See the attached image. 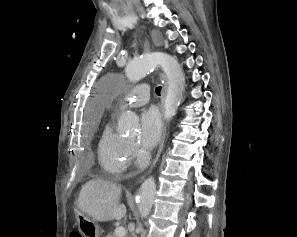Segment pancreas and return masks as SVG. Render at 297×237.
<instances>
[{
  "label": "pancreas",
  "mask_w": 297,
  "mask_h": 237,
  "mask_svg": "<svg viewBox=\"0 0 297 237\" xmlns=\"http://www.w3.org/2000/svg\"><path fill=\"white\" fill-rule=\"evenodd\" d=\"M106 237H117V236L114 233V234H108Z\"/></svg>",
  "instance_id": "pancreas-1"
}]
</instances>
